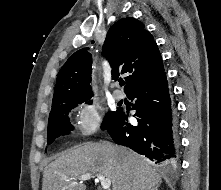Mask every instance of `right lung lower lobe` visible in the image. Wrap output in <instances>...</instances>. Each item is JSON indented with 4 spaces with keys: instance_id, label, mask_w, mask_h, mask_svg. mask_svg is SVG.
I'll use <instances>...</instances> for the list:
<instances>
[{
    "instance_id": "obj_1",
    "label": "right lung lower lobe",
    "mask_w": 221,
    "mask_h": 190,
    "mask_svg": "<svg viewBox=\"0 0 221 190\" xmlns=\"http://www.w3.org/2000/svg\"><path fill=\"white\" fill-rule=\"evenodd\" d=\"M127 97L135 100L138 125L128 123L119 109L107 132L113 141L163 166L175 165L178 159L179 139L176 110L164 72L155 80L131 90Z\"/></svg>"
}]
</instances>
